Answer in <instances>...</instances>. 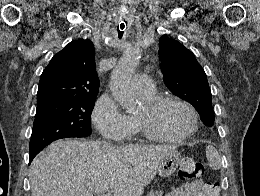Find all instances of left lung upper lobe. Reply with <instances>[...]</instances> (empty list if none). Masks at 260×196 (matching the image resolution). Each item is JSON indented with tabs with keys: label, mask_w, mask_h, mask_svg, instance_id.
<instances>
[{
	"label": "left lung upper lobe",
	"mask_w": 260,
	"mask_h": 196,
	"mask_svg": "<svg viewBox=\"0 0 260 196\" xmlns=\"http://www.w3.org/2000/svg\"><path fill=\"white\" fill-rule=\"evenodd\" d=\"M159 58L164 82L176 96L188 101L198 111L201 119L214 123L211 91L206 74L193 53L178 41L162 36L159 41Z\"/></svg>",
	"instance_id": "5c2ea615"
}]
</instances>
